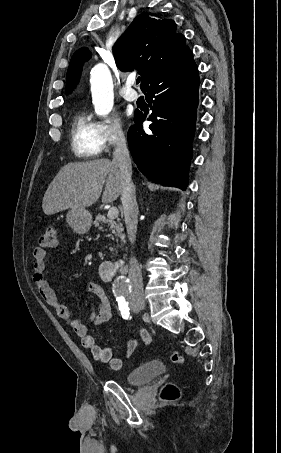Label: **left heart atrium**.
<instances>
[{
  "label": "left heart atrium",
  "instance_id": "1",
  "mask_svg": "<svg viewBox=\"0 0 281 453\" xmlns=\"http://www.w3.org/2000/svg\"><path fill=\"white\" fill-rule=\"evenodd\" d=\"M131 115L130 111H126V116L129 117Z\"/></svg>",
  "mask_w": 281,
  "mask_h": 453
}]
</instances>
